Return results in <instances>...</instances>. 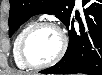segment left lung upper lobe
Segmentation results:
<instances>
[{"mask_svg":"<svg viewBox=\"0 0 102 75\" xmlns=\"http://www.w3.org/2000/svg\"><path fill=\"white\" fill-rule=\"evenodd\" d=\"M75 0H10L9 36L35 14H54L64 24L73 14Z\"/></svg>","mask_w":102,"mask_h":75,"instance_id":"1","label":"left lung upper lobe"}]
</instances>
